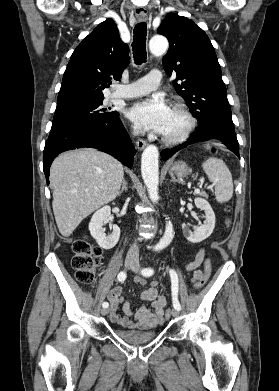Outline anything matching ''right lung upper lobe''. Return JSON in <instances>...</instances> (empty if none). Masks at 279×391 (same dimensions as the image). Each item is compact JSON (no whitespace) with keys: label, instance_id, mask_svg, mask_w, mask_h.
I'll list each match as a JSON object with an SVG mask.
<instances>
[{"label":"right lung upper lobe","instance_id":"1","mask_svg":"<svg viewBox=\"0 0 279 391\" xmlns=\"http://www.w3.org/2000/svg\"><path fill=\"white\" fill-rule=\"evenodd\" d=\"M130 61L129 47L119 38L115 22L100 23L74 50L57 98L60 109L104 99L102 90L119 80Z\"/></svg>","mask_w":279,"mask_h":391}]
</instances>
